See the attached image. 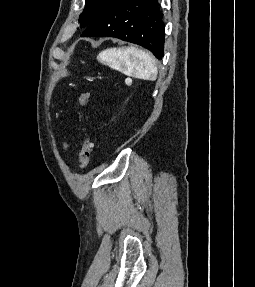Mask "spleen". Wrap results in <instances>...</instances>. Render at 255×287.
<instances>
[{"mask_svg":"<svg viewBox=\"0 0 255 287\" xmlns=\"http://www.w3.org/2000/svg\"><path fill=\"white\" fill-rule=\"evenodd\" d=\"M99 62L113 68L123 70L124 74L139 80H156V60L150 54L135 48H109L98 56Z\"/></svg>","mask_w":255,"mask_h":287,"instance_id":"obj_1","label":"spleen"}]
</instances>
